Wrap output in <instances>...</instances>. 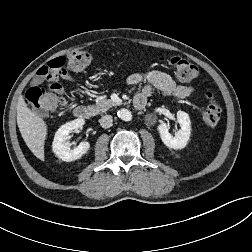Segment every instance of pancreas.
Masks as SVG:
<instances>
[{"label":"pancreas","instance_id":"cf45deb5","mask_svg":"<svg viewBox=\"0 0 252 252\" xmlns=\"http://www.w3.org/2000/svg\"><path fill=\"white\" fill-rule=\"evenodd\" d=\"M117 106V103L112 101L111 99L98 98L96 100V105L94 106L95 114L105 113L111 107Z\"/></svg>","mask_w":252,"mask_h":252}]
</instances>
